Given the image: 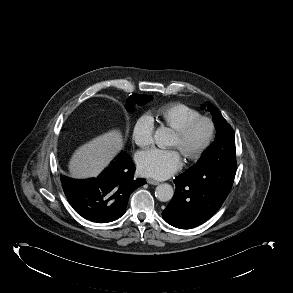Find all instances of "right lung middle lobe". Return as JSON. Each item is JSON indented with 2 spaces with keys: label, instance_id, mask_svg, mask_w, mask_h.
<instances>
[{
  "label": "right lung middle lobe",
  "instance_id": "obj_1",
  "mask_svg": "<svg viewBox=\"0 0 293 293\" xmlns=\"http://www.w3.org/2000/svg\"><path fill=\"white\" fill-rule=\"evenodd\" d=\"M153 97L149 95H141V94H132L129 97L128 104L130 106L128 107L129 110H132V105L133 104H138V105H143L146 104L148 101H150Z\"/></svg>",
  "mask_w": 293,
  "mask_h": 293
}]
</instances>
